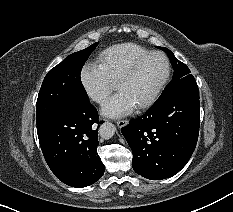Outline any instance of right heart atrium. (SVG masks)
<instances>
[{"mask_svg": "<svg viewBox=\"0 0 233 212\" xmlns=\"http://www.w3.org/2000/svg\"><path fill=\"white\" fill-rule=\"evenodd\" d=\"M79 80L87 97L98 104L108 99L114 87L101 67L94 63H87L81 68Z\"/></svg>", "mask_w": 233, "mask_h": 212, "instance_id": "1", "label": "right heart atrium"}]
</instances>
